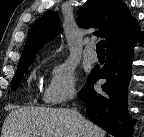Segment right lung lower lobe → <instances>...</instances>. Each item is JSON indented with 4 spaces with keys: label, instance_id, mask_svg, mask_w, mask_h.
<instances>
[{
    "label": "right lung lower lobe",
    "instance_id": "obj_1",
    "mask_svg": "<svg viewBox=\"0 0 144 137\" xmlns=\"http://www.w3.org/2000/svg\"><path fill=\"white\" fill-rule=\"evenodd\" d=\"M144 38L139 34L130 41L106 50V64L92 70L79 97L84 100L92 122L115 137H130L136 120L129 119L126 111L127 88L131 76L133 47ZM106 79L102 92L94 90L93 82Z\"/></svg>",
    "mask_w": 144,
    "mask_h": 137
}]
</instances>
